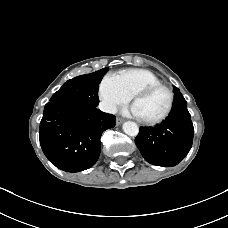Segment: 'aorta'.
<instances>
[{
    "label": "aorta",
    "mask_w": 228,
    "mask_h": 228,
    "mask_svg": "<svg viewBox=\"0 0 228 228\" xmlns=\"http://www.w3.org/2000/svg\"><path fill=\"white\" fill-rule=\"evenodd\" d=\"M123 131L129 136H136L139 133V127L135 122L127 121L123 124Z\"/></svg>",
    "instance_id": "aorta-1"
}]
</instances>
